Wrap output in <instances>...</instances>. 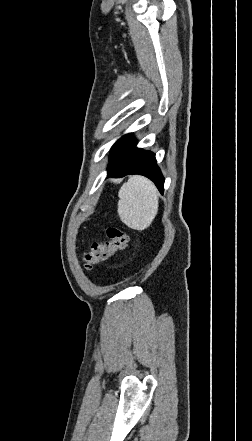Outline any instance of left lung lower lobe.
I'll list each match as a JSON object with an SVG mask.
<instances>
[{
    "label": "left lung lower lobe",
    "mask_w": 252,
    "mask_h": 441,
    "mask_svg": "<svg viewBox=\"0 0 252 441\" xmlns=\"http://www.w3.org/2000/svg\"><path fill=\"white\" fill-rule=\"evenodd\" d=\"M108 176L124 177L126 175L139 174L152 180L159 191L163 193L164 177L156 164L155 154L136 147V140L128 134L117 155L109 164Z\"/></svg>",
    "instance_id": "1"
}]
</instances>
